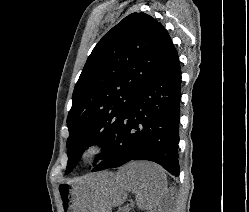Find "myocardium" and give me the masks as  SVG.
<instances>
[{"instance_id": "f54148a6", "label": "myocardium", "mask_w": 249, "mask_h": 212, "mask_svg": "<svg viewBox=\"0 0 249 212\" xmlns=\"http://www.w3.org/2000/svg\"><path fill=\"white\" fill-rule=\"evenodd\" d=\"M109 142L96 137L85 142L78 151V159L83 164H94L101 161L109 152Z\"/></svg>"}]
</instances>
